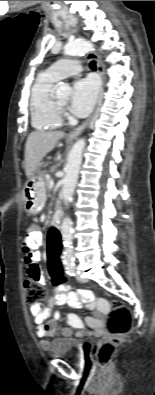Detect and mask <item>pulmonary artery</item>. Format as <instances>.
I'll return each mask as SVG.
<instances>
[{
    "label": "pulmonary artery",
    "mask_w": 155,
    "mask_h": 395,
    "mask_svg": "<svg viewBox=\"0 0 155 395\" xmlns=\"http://www.w3.org/2000/svg\"><path fill=\"white\" fill-rule=\"evenodd\" d=\"M82 71V64L78 60L65 59L52 64L47 72L55 79L61 80Z\"/></svg>",
    "instance_id": "1"
}]
</instances>
